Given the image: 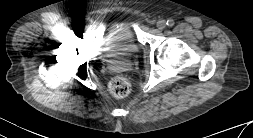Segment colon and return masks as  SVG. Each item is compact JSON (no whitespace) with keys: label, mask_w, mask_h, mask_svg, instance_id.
Returning a JSON list of instances; mask_svg holds the SVG:
<instances>
[{"label":"colon","mask_w":253,"mask_h":138,"mask_svg":"<svg viewBox=\"0 0 253 138\" xmlns=\"http://www.w3.org/2000/svg\"><path fill=\"white\" fill-rule=\"evenodd\" d=\"M110 93L117 98H124L129 95L131 86L123 76H114L109 83Z\"/></svg>","instance_id":"colon-1"}]
</instances>
